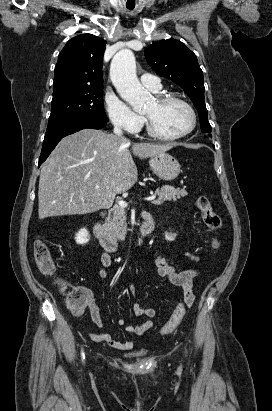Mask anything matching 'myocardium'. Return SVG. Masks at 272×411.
Segmentation results:
<instances>
[{
	"mask_svg": "<svg viewBox=\"0 0 272 411\" xmlns=\"http://www.w3.org/2000/svg\"><path fill=\"white\" fill-rule=\"evenodd\" d=\"M160 105H168L171 103H180L182 105H184L190 112L191 114V125L189 126V128L187 130H185L184 132L180 133V134H176V135H165L161 132H159L154 124L152 123L151 119L145 115V122H146V130L147 133L160 141H176V140H180L185 138L186 136H188L189 134H191L194 129L196 128L197 125V114L196 111L194 109V107L184 98L178 97V96H174V95H158L155 99Z\"/></svg>",
	"mask_w": 272,
	"mask_h": 411,
	"instance_id": "1",
	"label": "myocardium"
}]
</instances>
